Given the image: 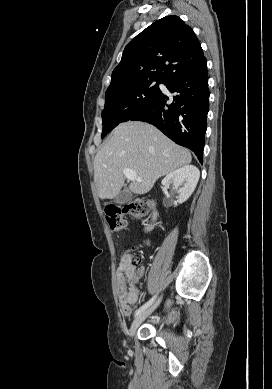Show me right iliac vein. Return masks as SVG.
<instances>
[{
	"label": "right iliac vein",
	"instance_id": "63e3f726",
	"mask_svg": "<svg viewBox=\"0 0 272 389\" xmlns=\"http://www.w3.org/2000/svg\"><path fill=\"white\" fill-rule=\"evenodd\" d=\"M161 299H158L150 308L140 313L132 322L130 327V336H134L139 325L157 308Z\"/></svg>",
	"mask_w": 272,
	"mask_h": 389
}]
</instances>
